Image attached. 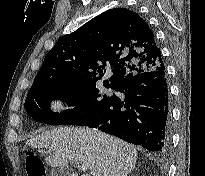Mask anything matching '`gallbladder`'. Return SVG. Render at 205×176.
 <instances>
[{
    "label": "gallbladder",
    "mask_w": 205,
    "mask_h": 176,
    "mask_svg": "<svg viewBox=\"0 0 205 176\" xmlns=\"http://www.w3.org/2000/svg\"><path fill=\"white\" fill-rule=\"evenodd\" d=\"M52 176H70V169L66 167H55L52 169Z\"/></svg>",
    "instance_id": "bac80fb5"
}]
</instances>
